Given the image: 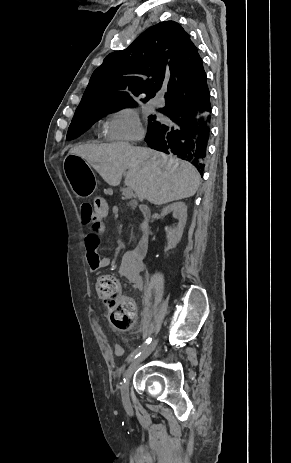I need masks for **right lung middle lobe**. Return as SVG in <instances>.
Here are the masks:
<instances>
[{
	"instance_id": "obj_1",
	"label": "right lung middle lobe",
	"mask_w": 291,
	"mask_h": 463,
	"mask_svg": "<svg viewBox=\"0 0 291 463\" xmlns=\"http://www.w3.org/2000/svg\"><path fill=\"white\" fill-rule=\"evenodd\" d=\"M136 102H109L96 105L87 109L76 110L72 122L67 133V140H72L78 137L93 123L104 117L105 115L119 111L127 107H135ZM159 123L156 116H150L148 119V129L156 126Z\"/></svg>"
}]
</instances>
